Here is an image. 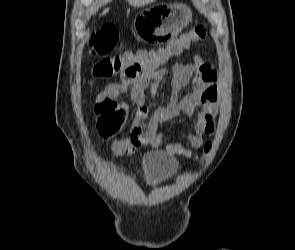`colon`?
<instances>
[{"instance_id": "colon-1", "label": "colon", "mask_w": 295, "mask_h": 250, "mask_svg": "<svg viewBox=\"0 0 295 250\" xmlns=\"http://www.w3.org/2000/svg\"><path fill=\"white\" fill-rule=\"evenodd\" d=\"M208 34L205 25H197L189 32L183 33L168 44L171 51L183 52L192 44L203 41ZM118 42V32L113 25H104L95 31L89 40L90 54L92 56L104 55L110 52ZM127 65L122 55L107 56L98 60L93 68L92 74L96 78H109L120 73ZM97 115L96 128L98 133L105 138L118 134L124 126L127 118V108L112 99H105L95 105ZM211 144L204 145V153L208 154Z\"/></svg>"}]
</instances>
